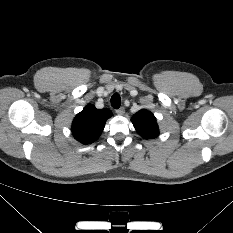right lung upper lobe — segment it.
<instances>
[{"label": "right lung upper lobe", "mask_w": 233, "mask_h": 233, "mask_svg": "<svg viewBox=\"0 0 233 233\" xmlns=\"http://www.w3.org/2000/svg\"><path fill=\"white\" fill-rule=\"evenodd\" d=\"M112 116L108 109H96L87 105L78 113L72 122V133L76 140L83 144L96 141L102 133L106 120Z\"/></svg>", "instance_id": "obj_1"}]
</instances>
